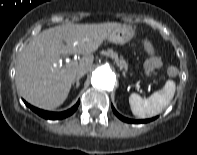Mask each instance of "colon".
<instances>
[{
  "label": "colon",
  "instance_id": "5ec220e1",
  "mask_svg": "<svg viewBox=\"0 0 197 155\" xmlns=\"http://www.w3.org/2000/svg\"><path fill=\"white\" fill-rule=\"evenodd\" d=\"M147 49L152 53L153 52V48L150 44H147ZM149 64L153 67H158L160 65V59L158 56L156 55H152L150 60H149Z\"/></svg>",
  "mask_w": 197,
  "mask_h": 155
}]
</instances>
